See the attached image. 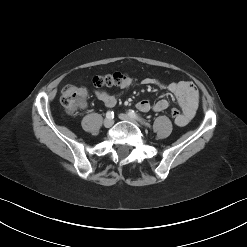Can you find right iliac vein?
<instances>
[{"mask_svg": "<svg viewBox=\"0 0 247 247\" xmlns=\"http://www.w3.org/2000/svg\"><path fill=\"white\" fill-rule=\"evenodd\" d=\"M114 124V121H113V119H105L104 120V126L106 127V128H110L112 125Z\"/></svg>", "mask_w": 247, "mask_h": 247, "instance_id": "63e3f726", "label": "right iliac vein"}]
</instances>
